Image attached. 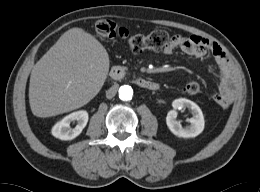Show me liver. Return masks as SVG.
<instances>
[{
	"label": "liver",
	"mask_w": 260,
	"mask_h": 192,
	"mask_svg": "<svg viewBox=\"0 0 260 192\" xmlns=\"http://www.w3.org/2000/svg\"><path fill=\"white\" fill-rule=\"evenodd\" d=\"M103 45L82 28H71L34 65L29 104L37 117L80 108L101 90L109 72Z\"/></svg>",
	"instance_id": "1"
}]
</instances>
